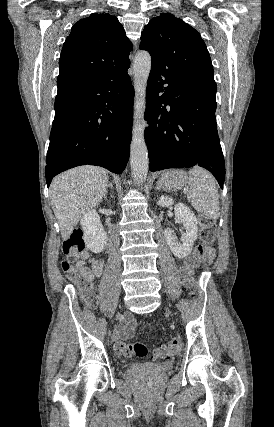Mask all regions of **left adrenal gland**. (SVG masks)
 I'll return each mask as SVG.
<instances>
[{"label": "left adrenal gland", "instance_id": "left-adrenal-gland-1", "mask_svg": "<svg viewBox=\"0 0 274 427\" xmlns=\"http://www.w3.org/2000/svg\"><path fill=\"white\" fill-rule=\"evenodd\" d=\"M160 188H161V186H158V184H157L155 190H160Z\"/></svg>", "mask_w": 274, "mask_h": 427}]
</instances>
